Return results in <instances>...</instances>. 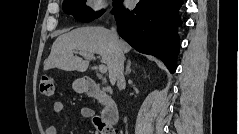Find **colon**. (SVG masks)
<instances>
[{
  "instance_id": "5ec220e1",
  "label": "colon",
  "mask_w": 239,
  "mask_h": 134,
  "mask_svg": "<svg viewBox=\"0 0 239 134\" xmlns=\"http://www.w3.org/2000/svg\"><path fill=\"white\" fill-rule=\"evenodd\" d=\"M40 92L45 96H53L55 93V83L52 77L43 75L39 84ZM94 124L100 134H114V129L103 122L100 118L94 119Z\"/></svg>"
}]
</instances>
